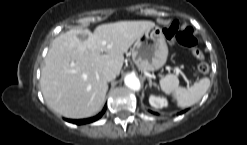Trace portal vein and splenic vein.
<instances>
[{
	"instance_id": "18ae733b",
	"label": "portal vein and splenic vein",
	"mask_w": 247,
	"mask_h": 145,
	"mask_svg": "<svg viewBox=\"0 0 247 145\" xmlns=\"http://www.w3.org/2000/svg\"><path fill=\"white\" fill-rule=\"evenodd\" d=\"M174 70L176 71L177 74H179L180 71L178 68H175Z\"/></svg>"
}]
</instances>
